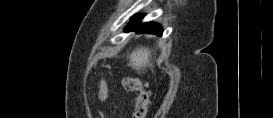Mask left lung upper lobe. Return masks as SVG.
Segmentation results:
<instances>
[{
	"mask_svg": "<svg viewBox=\"0 0 273 118\" xmlns=\"http://www.w3.org/2000/svg\"><path fill=\"white\" fill-rule=\"evenodd\" d=\"M142 19V15L139 16H135L132 18V20L130 21L131 23H136V22H140V20Z\"/></svg>",
	"mask_w": 273,
	"mask_h": 118,
	"instance_id": "left-lung-upper-lobe-1",
	"label": "left lung upper lobe"
}]
</instances>
